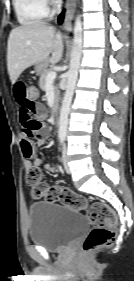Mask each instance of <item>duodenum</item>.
<instances>
[{"instance_id": "1", "label": "duodenum", "mask_w": 134, "mask_h": 281, "mask_svg": "<svg viewBox=\"0 0 134 281\" xmlns=\"http://www.w3.org/2000/svg\"><path fill=\"white\" fill-rule=\"evenodd\" d=\"M59 117V106L58 104H54L51 110V119L52 122L56 123Z\"/></svg>"}]
</instances>
